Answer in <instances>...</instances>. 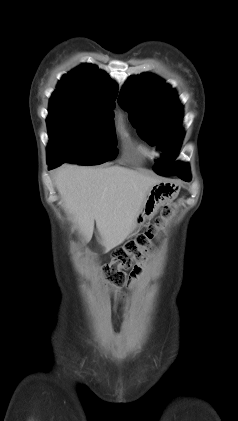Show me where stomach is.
Here are the masks:
<instances>
[{
	"label": "stomach",
	"mask_w": 238,
	"mask_h": 421,
	"mask_svg": "<svg viewBox=\"0 0 238 421\" xmlns=\"http://www.w3.org/2000/svg\"><path fill=\"white\" fill-rule=\"evenodd\" d=\"M177 194L176 186L169 182H159L147 192L140 213L136 217L134 229L142 226L144 222L153 217L159 207Z\"/></svg>",
	"instance_id": "0dacf381"
}]
</instances>
